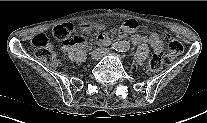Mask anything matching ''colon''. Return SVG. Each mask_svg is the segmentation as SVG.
Masks as SVG:
<instances>
[{
  "label": "colon",
  "instance_id": "1",
  "mask_svg": "<svg viewBox=\"0 0 207 123\" xmlns=\"http://www.w3.org/2000/svg\"><path fill=\"white\" fill-rule=\"evenodd\" d=\"M74 27L71 23H61L54 28L55 37L62 43V45H72L78 41L77 37H73ZM164 36L168 39V50L165 55H154L148 62V70L150 72H157L164 65L172 64L175 59L180 56L184 50L183 44L176 38L164 32ZM32 48L35 55L49 64H56L57 58L52 51L48 37L43 34H37L32 38Z\"/></svg>",
  "mask_w": 207,
  "mask_h": 123
}]
</instances>
